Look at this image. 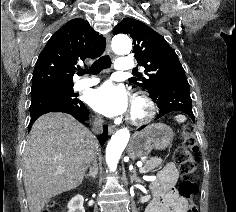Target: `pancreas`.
<instances>
[{
	"label": "pancreas",
	"mask_w": 236,
	"mask_h": 212,
	"mask_svg": "<svg viewBox=\"0 0 236 212\" xmlns=\"http://www.w3.org/2000/svg\"><path fill=\"white\" fill-rule=\"evenodd\" d=\"M143 163L144 167L142 173H149L161 165L162 159L158 157H153L150 158L149 160H144Z\"/></svg>",
	"instance_id": "pancreas-1"
}]
</instances>
